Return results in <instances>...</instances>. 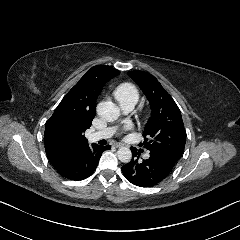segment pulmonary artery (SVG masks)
<instances>
[{
  "label": "pulmonary artery",
  "mask_w": 240,
  "mask_h": 240,
  "mask_svg": "<svg viewBox=\"0 0 240 240\" xmlns=\"http://www.w3.org/2000/svg\"><path fill=\"white\" fill-rule=\"evenodd\" d=\"M121 109L123 110L124 113H129L133 110V105H124V106H121ZM111 134H112V129L107 128L98 132L91 133L88 136V141L90 143H95L100 140H105V139H108L111 136Z\"/></svg>",
  "instance_id": "obj_1"
}]
</instances>
